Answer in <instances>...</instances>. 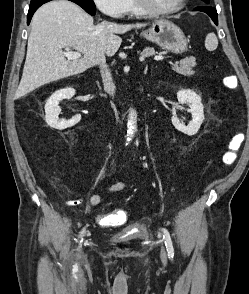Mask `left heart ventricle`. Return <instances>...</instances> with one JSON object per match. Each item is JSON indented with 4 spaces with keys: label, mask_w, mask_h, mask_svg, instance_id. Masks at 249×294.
Instances as JSON below:
<instances>
[{
    "label": "left heart ventricle",
    "mask_w": 249,
    "mask_h": 294,
    "mask_svg": "<svg viewBox=\"0 0 249 294\" xmlns=\"http://www.w3.org/2000/svg\"><path fill=\"white\" fill-rule=\"evenodd\" d=\"M152 8L156 10H165L174 7L179 0H148Z\"/></svg>",
    "instance_id": "left-heart-ventricle-1"
}]
</instances>
